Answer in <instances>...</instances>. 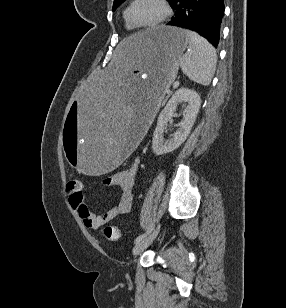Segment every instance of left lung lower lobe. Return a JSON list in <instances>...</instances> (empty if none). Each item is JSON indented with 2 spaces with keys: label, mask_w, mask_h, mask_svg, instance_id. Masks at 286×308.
Masks as SVG:
<instances>
[{
  "label": "left lung lower lobe",
  "mask_w": 286,
  "mask_h": 308,
  "mask_svg": "<svg viewBox=\"0 0 286 308\" xmlns=\"http://www.w3.org/2000/svg\"><path fill=\"white\" fill-rule=\"evenodd\" d=\"M170 6L175 16L167 25L196 31L217 47L224 15L223 0H172Z\"/></svg>",
  "instance_id": "1"
}]
</instances>
